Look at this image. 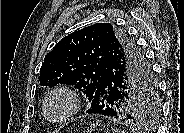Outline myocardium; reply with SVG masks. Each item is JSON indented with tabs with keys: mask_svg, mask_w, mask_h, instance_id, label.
Returning <instances> with one entry per match:
<instances>
[{
	"mask_svg": "<svg viewBox=\"0 0 184 133\" xmlns=\"http://www.w3.org/2000/svg\"><path fill=\"white\" fill-rule=\"evenodd\" d=\"M58 96L63 97L65 99L66 108L58 116H51L47 110L48 104L54 97ZM79 109H80V99L78 94L74 90L66 86H59L53 88L46 94L42 102V111L44 116L46 117L47 120L53 123H61L69 120L70 118H72L77 114Z\"/></svg>",
	"mask_w": 184,
	"mask_h": 133,
	"instance_id": "myocardium-1",
	"label": "myocardium"
}]
</instances>
